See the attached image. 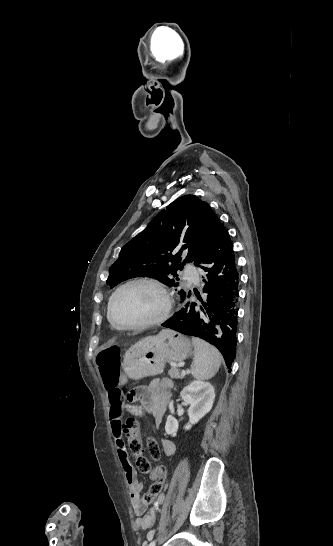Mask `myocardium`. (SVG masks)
<instances>
[{"label": "myocardium", "mask_w": 333, "mask_h": 546, "mask_svg": "<svg viewBox=\"0 0 333 546\" xmlns=\"http://www.w3.org/2000/svg\"><path fill=\"white\" fill-rule=\"evenodd\" d=\"M136 284L149 285L157 289L163 297V301H164L163 308L161 312L152 319H149L147 321L134 324V325H122L116 321L113 314V305H114L115 299L123 289L131 285H136ZM172 308H173V300H172L171 294L162 282L153 278L138 277V278L129 279L116 288V290L112 293L109 299L108 306H107V315L111 324L118 330L140 331V330L149 329L164 323L169 318Z\"/></svg>", "instance_id": "myocardium-1"}]
</instances>
